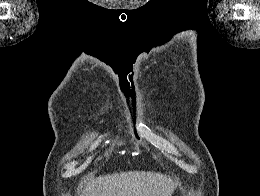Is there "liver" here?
<instances>
[{
    "label": "liver",
    "instance_id": "liver-1",
    "mask_svg": "<svg viewBox=\"0 0 260 196\" xmlns=\"http://www.w3.org/2000/svg\"><path fill=\"white\" fill-rule=\"evenodd\" d=\"M175 188V182L163 174L120 172L89 178L81 196H172Z\"/></svg>",
    "mask_w": 260,
    "mask_h": 196
}]
</instances>
